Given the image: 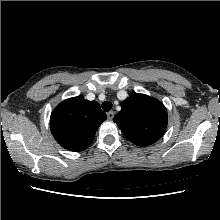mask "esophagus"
<instances>
[{
    "mask_svg": "<svg viewBox=\"0 0 220 220\" xmlns=\"http://www.w3.org/2000/svg\"><path fill=\"white\" fill-rule=\"evenodd\" d=\"M107 117H108V119H113V117H114V112L113 111H109L108 113H107Z\"/></svg>",
    "mask_w": 220,
    "mask_h": 220,
    "instance_id": "34e87169",
    "label": "esophagus"
}]
</instances>
